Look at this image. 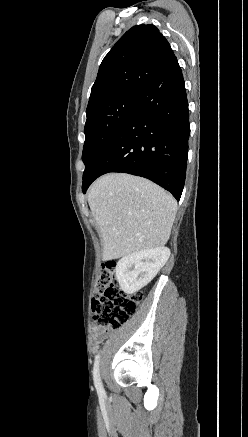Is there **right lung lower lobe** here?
<instances>
[{
    "mask_svg": "<svg viewBox=\"0 0 248 437\" xmlns=\"http://www.w3.org/2000/svg\"><path fill=\"white\" fill-rule=\"evenodd\" d=\"M189 111L181 68L174 58L138 94L130 113L94 159L82 191L100 175L148 178L179 200L185 183Z\"/></svg>",
    "mask_w": 248,
    "mask_h": 437,
    "instance_id": "obj_1",
    "label": "right lung lower lobe"
}]
</instances>
